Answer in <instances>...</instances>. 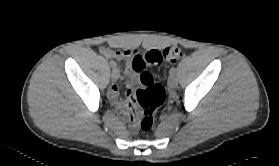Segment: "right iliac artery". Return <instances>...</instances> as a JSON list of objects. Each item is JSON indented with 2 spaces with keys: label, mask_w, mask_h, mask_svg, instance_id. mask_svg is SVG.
<instances>
[{
  "label": "right iliac artery",
  "mask_w": 279,
  "mask_h": 166,
  "mask_svg": "<svg viewBox=\"0 0 279 166\" xmlns=\"http://www.w3.org/2000/svg\"><path fill=\"white\" fill-rule=\"evenodd\" d=\"M110 66L115 69L116 68V63L114 61H110Z\"/></svg>",
  "instance_id": "right-iliac-artery-1"
}]
</instances>
